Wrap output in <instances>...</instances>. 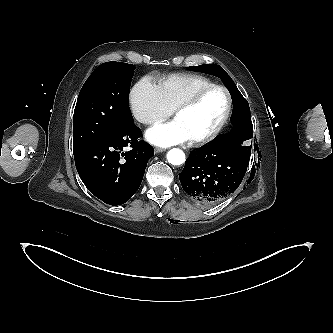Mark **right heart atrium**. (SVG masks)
<instances>
[{
    "mask_svg": "<svg viewBox=\"0 0 333 333\" xmlns=\"http://www.w3.org/2000/svg\"><path fill=\"white\" fill-rule=\"evenodd\" d=\"M129 102L134 118L145 125L159 123L173 112L165 102L158 85L147 77L134 85Z\"/></svg>",
    "mask_w": 333,
    "mask_h": 333,
    "instance_id": "1",
    "label": "right heart atrium"
}]
</instances>
